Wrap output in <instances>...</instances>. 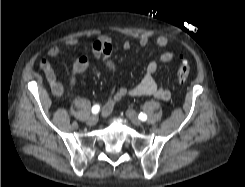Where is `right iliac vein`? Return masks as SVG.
I'll list each match as a JSON object with an SVG mask.
<instances>
[{"instance_id":"obj_1","label":"right iliac vein","mask_w":245,"mask_h":187,"mask_svg":"<svg viewBox=\"0 0 245 187\" xmlns=\"http://www.w3.org/2000/svg\"><path fill=\"white\" fill-rule=\"evenodd\" d=\"M98 121V116L97 115H92L88 118L87 120V124L90 125V126H93L97 123Z\"/></svg>"}]
</instances>
